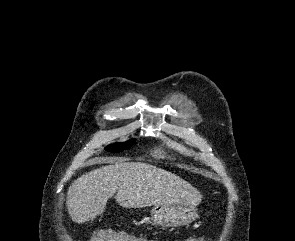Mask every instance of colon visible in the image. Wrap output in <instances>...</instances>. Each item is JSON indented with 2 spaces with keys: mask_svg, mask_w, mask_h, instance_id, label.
Wrapping results in <instances>:
<instances>
[{
  "mask_svg": "<svg viewBox=\"0 0 295 241\" xmlns=\"http://www.w3.org/2000/svg\"><path fill=\"white\" fill-rule=\"evenodd\" d=\"M132 237L134 236H131L124 232H117V231H111V230H99L94 234L91 241H132ZM190 240L206 241L203 239H189V241Z\"/></svg>",
  "mask_w": 295,
  "mask_h": 241,
  "instance_id": "1",
  "label": "colon"
}]
</instances>
